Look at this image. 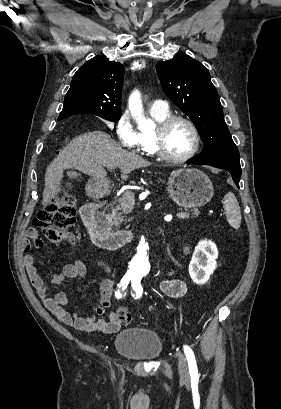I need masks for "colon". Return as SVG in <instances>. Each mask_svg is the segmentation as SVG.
<instances>
[{"label": "colon", "mask_w": 281, "mask_h": 409, "mask_svg": "<svg viewBox=\"0 0 281 409\" xmlns=\"http://www.w3.org/2000/svg\"><path fill=\"white\" fill-rule=\"evenodd\" d=\"M75 213V200L72 197L55 194L46 208L38 212L34 224L47 239L61 242L63 233L75 223ZM129 313V306H118L115 318L128 323L131 320Z\"/></svg>", "instance_id": "5ec220e1"}]
</instances>
